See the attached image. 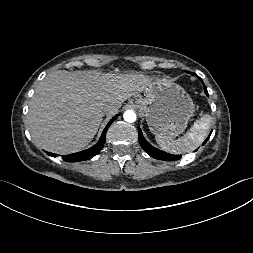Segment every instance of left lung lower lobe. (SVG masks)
I'll return each mask as SVG.
<instances>
[{"mask_svg": "<svg viewBox=\"0 0 253 253\" xmlns=\"http://www.w3.org/2000/svg\"><path fill=\"white\" fill-rule=\"evenodd\" d=\"M194 74V73H193ZM201 81L202 79L200 77H198ZM204 85V83H203ZM204 91L206 93V95H208L207 89L204 85ZM212 133V132H211ZM211 133L209 134V136L206 138V140L203 142L202 145H204ZM138 136H139V143L141 145V147L144 149V151L149 154L151 157L155 158V159H160V160H165V161H175V160H179L181 158V155H172V154H168L166 152H163L161 150H158L157 148L151 146L143 137L141 129L138 127Z\"/></svg>", "mask_w": 253, "mask_h": 253, "instance_id": "1", "label": "left lung lower lobe"}]
</instances>
